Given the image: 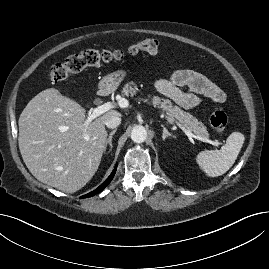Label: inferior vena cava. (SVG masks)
<instances>
[{
	"mask_svg": "<svg viewBox=\"0 0 269 269\" xmlns=\"http://www.w3.org/2000/svg\"><path fill=\"white\" fill-rule=\"evenodd\" d=\"M121 124L120 116H112L106 121V126L108 128L114 129Z\"/></svg>",
	"mask_w": 269,
	"mask_h": 269,
	"instance_id": "inferior-vena-cava-1",
	"label": "inferior vena cava"
}]
</instances>
